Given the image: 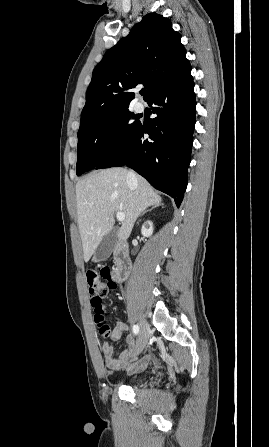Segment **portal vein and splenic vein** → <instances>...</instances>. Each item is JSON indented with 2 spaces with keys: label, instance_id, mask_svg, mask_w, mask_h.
Returning a JSON list of instances; mask_svg holds the SVG:
<instances>
[{
  "label": "portal vein and splenic vein",
  "instance_id": "portal-vein-and-splenic-vein-1",
  "mask_svg": "<svg viewBox=\"0 0 269 447\" xmlns=\"http://www.w3.org/2000/svg\"><path fill=\"white\" fill-rule=\"evenodd\" d=\"M116 218L118 222H123L125 220V214L123 212H116Z\"/></svg>",
  "mask_w": 269,
  "mask_h": 447
}]
</instances>
